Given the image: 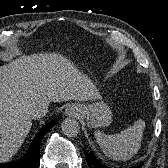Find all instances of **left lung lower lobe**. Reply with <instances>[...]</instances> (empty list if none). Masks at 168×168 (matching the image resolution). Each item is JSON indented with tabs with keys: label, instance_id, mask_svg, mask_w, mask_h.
<instances>
[{
	"label": "left lung lower lobe",
	"instance_id": "left-lung-lower-lobe-1",
	"mask_svg": "<svg viewBox=\"0 0 168 168\" xmlns=\"http://www.w3.org/2000/svg\"><path fill=\"white\" fill-rule=\"evenodd\" d=\"M86 161L89 168H109L108 166L100 163V161L95 157L93 153H88L85 151ZM143 164L131 167V168H140Z\"/></svg>",
	"mask_w": 168,
	"mask_h": 168
}]
</instances>
